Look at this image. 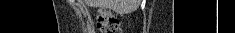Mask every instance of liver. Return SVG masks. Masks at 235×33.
Here are the masks:
<instances>
[{
  "label": "liver",
  "instance_id": "obj_1",
  "mask_svg": "<svg viewBox=\"0 0 235 33\" xmlns=\"http://www.w3.org/2000/svg\"><path fill=\"white\" fill-rule=\"evenodd\" d=\"M91 7L111 9L121 14H128L138 8L140 0H85Z\"/></svg>",
  "mask_w": 235,
  "mask_h": 33
}]
</instances>
